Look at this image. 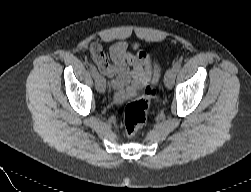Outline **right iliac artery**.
Returning a JSON list of instances; mask_svg holds the SVG:
<instances>
[{
  "label": "right iliac artery",
  "mask_w": 251,
  "mask_h": 192,
  "mask_svg": "<svg viewBox=\"0 0 251 192\" xmlns=\"http://www.w3.org/2000/svg\"><path fill=\"white\" fill-rule=\"evenodd\" d=\"M88 66H89V70H90L92 76H93L94 78H96V77L99 75V73H98L96 67H95L94 64L91 63V62L88 63Z\"/></svg>",
  "instance_id": "obj_1"
}]
</instances>
